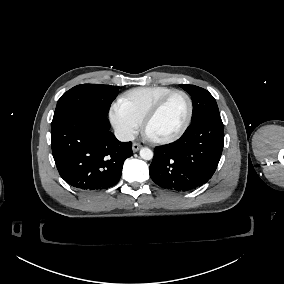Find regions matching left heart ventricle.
<instances>
[{
	"label": "left heart ventricle",
	"mask_w": 284,
	"mask_h": 284,
	"mask_svg": "<svg viewBox=\"0 0 284 284\" xmlns=\"http://www.w3.org/2000/svg\"><path fill=\"white\" fill-rule=\"evenodd\" d=\"M187 114V99L180 93L175 94L149 124L148 136L154 139H165L174 135L185 122Z\"/></svg>",
	"instance_id": "b2bd125f"
}]
</instances>
